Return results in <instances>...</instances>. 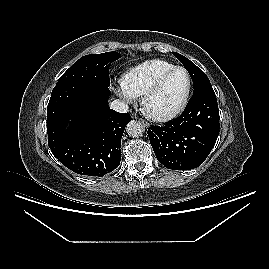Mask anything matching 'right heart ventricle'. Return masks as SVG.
I'll use <instances>...</instances> for the list:
<instances>
[{"label":"right heart ventricle","mask_w":269,"mask_h":269,"mask_svg":"<svg viewBox=\"0 0 269 269\" xmlns=\"http://www.w3.org/2000/svg\"><path fill=\"white\" fill-rule=\"evenodd\" d=\"M173 67L167 60L149 59L128 70L122 81L131 93L142 96L159 76Z\"/></svg>","instance_id":"right-heart-ventricle-1"}]
</instances>
